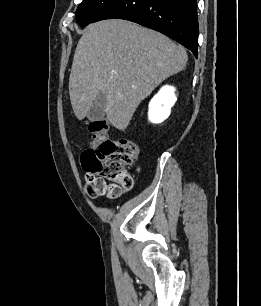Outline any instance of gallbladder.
<instances>
[{
    "label": "gallbladder",
    "instance_id": "obj_1",
    "mask_svg": "<svg viewBox=\"0 0 261 306\" xmlns=\"http://www.w3.org/2000/svg\"><path fill=\"white\" fill-rule=\"evenodd\" d=\"M106 95L103 92H100L95 100L92 102L90 109L87 113V116L92 121H99L104 118L105 115V106H106Z\"/></svg>",
    "mask_w": 261,
    "mask_h": 306
}]
</instances>
